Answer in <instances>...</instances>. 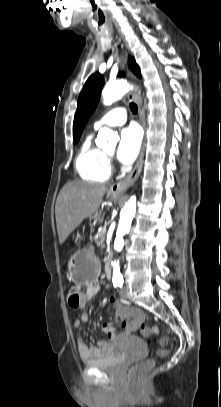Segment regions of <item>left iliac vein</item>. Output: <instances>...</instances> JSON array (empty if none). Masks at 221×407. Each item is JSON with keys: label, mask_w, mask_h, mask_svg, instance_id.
<instances>
[{"label": "left iliac vein", "mask_w": 221, "mask_h": 407, "mask_svg": "<svg viewBox=\"0 0 221 407\" xmlns=\"http://www.w3.org/2000/svg\"><path fill=\"white\" fill-rule=\"evenodd\" d=\"M120 297H121L123 300H127V299H128V297H129V292H128V288H127V287H123V288L120 290Z\"/></svg>", "instance_id": "left-iliac-vein-1"}]
</instances>
